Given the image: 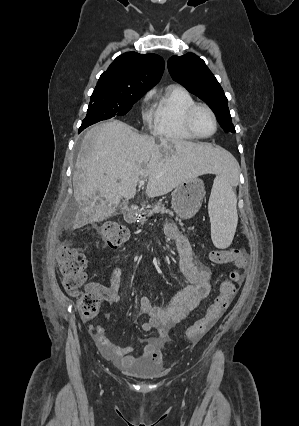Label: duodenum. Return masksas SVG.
I'll return each mask as SVG.
<instances>
[{"instance_id": "1", "label": "duodenum", "mask_w": 299, "mask_h": 426, "mask_svg": "<svg viewBox=\"0 0 299 426\" xmlns=\"http://www.w3.org/2000/svg\"><path fill=\"white\" fill-rule=\"evenodd\" d=\"M138 216V207L132 206L125 212V219L129 222L136 220Z\"/></svg>"}]
</instances>
